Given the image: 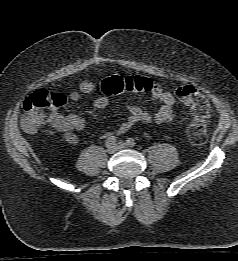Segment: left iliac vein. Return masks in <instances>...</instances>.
Here are the masks:
<instances>
[{
  "label": "left iliac vein",
  "instance_id": "4c4485c4",
  "mask_svg": "<svg viewBox=\"0 0 238 261\" xmlns=\"http://www.w3.org/2000/svg\"><path fill=\"white\" fill-rule=\"evenodd\" d=\"M117 149H124L127 147V144H125L124 142H119L117 145Z\"/></svg>",
  "mask_w": 238,
  "mask_h": 261
}]
</instances>
